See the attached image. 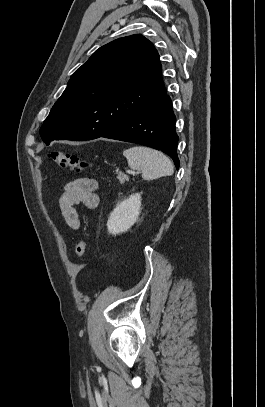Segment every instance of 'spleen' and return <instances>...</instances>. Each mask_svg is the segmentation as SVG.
Here are the masks:
<instances>
[{"label": "spleen", "instance_id": "3e777b00", "mask_svg": "<svg viewBox=\"0 0 265 407\" xmlns=\"http://www.w3.org/2000/svg\"><path fill=\"white\" fill-rule=\"evenodd\" d=\"M128 165L133 170H140L145 180L162 176H171L174 172L171 160L162 152L143 146H135L123 151Z\"/></svg>", "mask_w": 265, "mask_h": 407}]
</instances>
